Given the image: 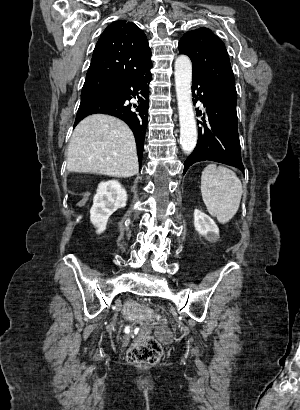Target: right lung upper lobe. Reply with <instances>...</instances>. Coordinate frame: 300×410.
Masks as SVG:
<instances>
[{
    "label": "right lung upper lobe",
    "mask_w": 300,
    "mask_h": 410,
    "mask_svg": "<svg viewBox=\"0 0 300 410\" xmlns=\"http://www.w3.org/2000/svg\"><path fill=\"white\" fill-rule=\"evenodd\" d=\"M150 58L144 32L134 23L115 21L104 30L95 46L85 82L110 85L126 75L146 72L152 67Z\"/></svg>",
    "instance_id": "obj_1"
}]
</instances>
